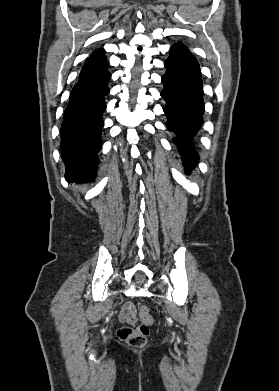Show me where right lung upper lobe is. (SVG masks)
<instances>
[{
    "instance_id": "right-lung-upper-lobe-1",
    "label": "right lung upper lobe",
    "mask_w": 279,
    "mask_h": 391,
    "mask_svg": "<svg viewBox=\"0 0 279 391\" xmlns=\"http://www.w3.org/2000/svg\"><path fill=\"white\" fill-rule=\"evenodd\" d=\"M108 66L109 63L104 55V50H95L84 64L79 75V80L106 72Z\"/></svg>"
}]
</instances>
